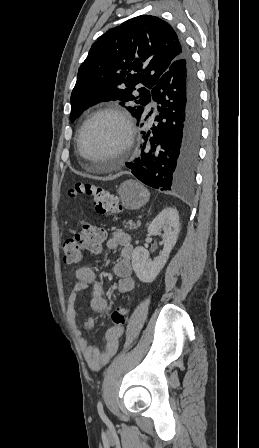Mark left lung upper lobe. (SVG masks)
Here are the masks:
<instances>
[{
    "label": "left lung upper lobe",
    "instance_id": "obj_1",
    "mask_svg": "<svg viewBox=\"0 0 259 448\" xmlns=\"http://www.w3.org/2000/svg\"><path fill=\"white\" fill-rule=\"evenodd\" d=\"M183 54L173 27L159 17L141 15L108 30L93 43L78 70L71 94L70 120L100 101L136 103L134 116L148 110L150 94L160 77ZM137 90L139 95H133Z\"/></svg>",
    "mask_w": 259,
    "mask_h": 448
}]
</instances>
